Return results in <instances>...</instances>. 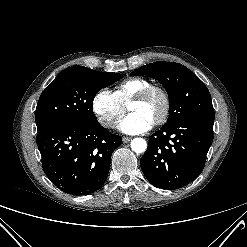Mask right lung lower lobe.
Here are the masks:
<instances>
[{
  "mask_svg": "<svg viewBox=\"0 0 247 247\" xmlns=\"http://www.w3.org/2000/svg\"><path fill=\"white\" fill-rule=\"evenodd\" d=\"M44 172L63 192L88 195L105 182L113 151L122 144L98 121L57 122L38 129Z\"/></svg>",
  "mask_w": 247,
  "mask_h": 247,
  "instance_id": "98d812e1",
  "label": "right lung lower lobe"
}]
</instances>
